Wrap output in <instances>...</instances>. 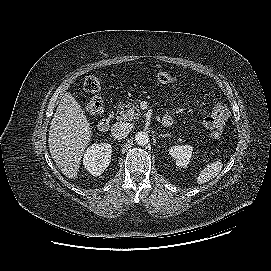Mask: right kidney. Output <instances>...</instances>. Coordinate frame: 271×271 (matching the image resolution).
Wrapping results in <instances>:
<instances>
[{
  "label": "right kidney",
  "mask_w": 271,
  "mask_h": 271,
  "mask_svg": "<svg viewBox=\"0 0 271 271\" xmlns=\"http://www.w3.org/2000/svg\"><path fill=\"white\" fill-rule=\"evenodd\" d=\"M112 146L108 143L93 144L83 158L85 169L93 176H100L111 161Z\"/></svg>",
  "instance_id": "ca27d5eb"
}]
</instances>
